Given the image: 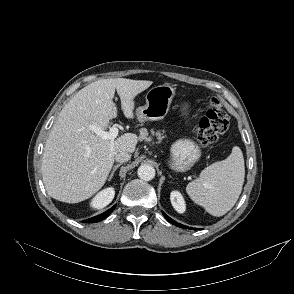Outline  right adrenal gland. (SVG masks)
<instances>
[{"mask_svg": "<svg viewBox=\"0 0 294 294\" xmlns=\"http://www.w3.org/2000/svg\"><path fill=\"white\" fill-rule=\"evenodd\" d=\"M122 164H116L114 167H113V170L108 178V181H110L115 173V171L117 170V168H119Z\"/></svg>", "mask_w": 294, "mask_h": 294, "instance_id": "2a0ac1e0", "label": "right adrenal gland"}]
</instances>
